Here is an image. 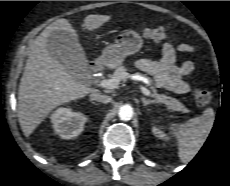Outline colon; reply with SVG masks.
<instances>
[{"mask_svg": "<svg viewBox=\"0 0 230 186\" xmlns=\"http://www.w3.org/2000/svg\"><path fill=\"white\" fill-rule=\"evenodd\" d=\"M143 36L146 39L152 40L155 42H164L170 38L169 32L163 27L145 28L143 30ZM194 97H195L196 102L201 106H206L210 104L212 100V95L210 91L203 89V88H198L194 92Z\"/></svg>", "mask_w": 230, "mask_h": 186, "instance_id": "1", "label": "colon"}]
</instances>
